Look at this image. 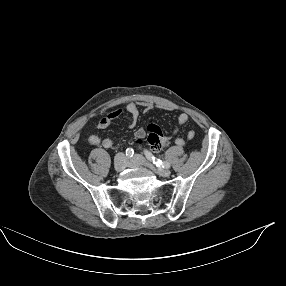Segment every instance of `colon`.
<instances>
[{
    "label": "colon",
    "mask_w": 286,
    "mask_h": 286,
    "mask_svg": "<svg viewBox=\"0 0 286 286\" xmlns=\"http://www.w3.org/2000/svg\"><path fill=\"white\" fill-rule=\"evenodd\" d=\"M165 139L164 134L159 126L156 124H150L148 126V143L155 149L161 148L162 142Z\"/></svg>",
    "instance_id": "1"
}]
</instances>
